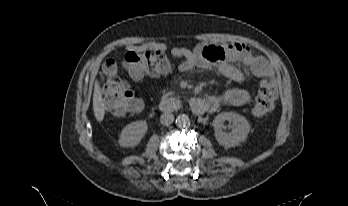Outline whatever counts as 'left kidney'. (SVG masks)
<instances>
[{"mask_svg":"<svg viewBox=\"0 0 348 206\" xmlns=\"http://www.w3.org/2000/svg\"><path fill=\"white\" fill-rule=\"evenodd\" d=\"M225 121L233 124V129L229 133L224 131ZM213 127L217 142L225 148L238 146L240 142L245 141L251 129L248 120L234 112H223L217 115L213 120Z\"/></svg>","mask_w":348,"mask_h":206,"instance_id":"obj_1","label":"left kidney"}]
</instances>
